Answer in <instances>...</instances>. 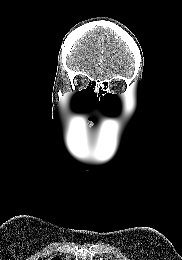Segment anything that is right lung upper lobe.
I'll list each match as a JSON object with an SVG mask.
<instances>
[{"label": "right lung upper lobe", "mask_w": 182, "mask_h": 260, "mask_svg": "<svg viewBox=\"0 0 182 260\" xmlns=\"http://www.w3.org/2000/svg\"><path fill=\"white\" fill-rule=\"evenodd\" d=\"M52 260H60L59 257H54Z\"/></svg>", "instance_id": "1"}]
</instances>
